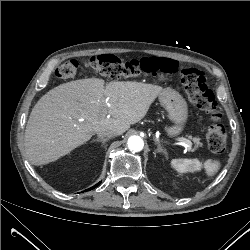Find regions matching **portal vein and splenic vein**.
<instances>
[{
	"label": "portal vein and splenic vein",
	"instance_id": "portal-vein-and-splenic-vein-1",
	"mask_svg": "<svg viewBox=\"0 0 250 250\" xmlns=\"http://www.w3.org/2000/svg\"><path fill=\"white\" fill-rule=\"evenodd\" d=\"M176 140L184 142L187 147H191L192 146V142L189 139H187V138L178 137V138H176Z\"/></svg>",
	"mask_w": 250,
	"mask_h": 250
}]
</instances>
